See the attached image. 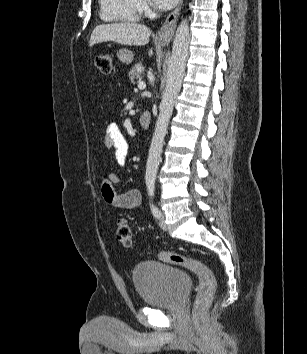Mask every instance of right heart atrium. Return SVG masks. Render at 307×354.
Instances as JSON below:
<instances>
[{"label":"right heart atrium","mask_w":307,"mask_h":354,"mask_svg":"<svg viewBox=\"0 0 307 354\" xmlns=\"http://www.w3.org/2000/svg\"><path fill=\"white\" fill-rule=\"evenodd\" d=\"M138 3L141 12H147L149 10V5L146 0H138Z\"/></svg>","instance_id":"right-heart-atrium-1"}]
</instances>
